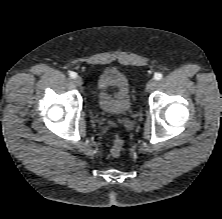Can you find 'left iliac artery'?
Wrapping results in <instances>:
<instances>
[{
  "label": "left iliac artery",
  "instance_id": "obj_1",
  "mask_svg": "<svg viewBox=\"0 0 222 219\" xmlns=\"http://www.w3.org/2000/svg\"><path fill=\"white\" fill-rule=\"evenodd\" d=\"M162 77H163V75H162L161 73H156V74L154 75V79H155V80H161Z\"/></svg>",
  "mask_w": 222,
  "mask_h": 219
}]
</instances>
